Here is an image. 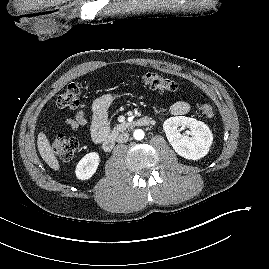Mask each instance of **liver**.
Segmentation results:
<instances>
[{"label": "liver", "mask_w": 269, "mask_h": 269, "mask_svg": "<svg viewBox=\"0 0 269 269\" xmlns=\"http://www.w3.org/2000/svg\"><path fill=\"white\" fill-rule=\"evenodd\" d=\"M37 146L42 159L47 165L54 170H59V162L53 153L47 136L43 132L38 134Z\"/></svg>", "instance_id": "liver-1"}]
</instances>
